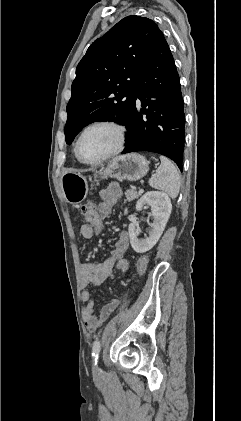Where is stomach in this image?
<instances>
[{
	"label": "stomach",
	"instance_id": "obj_1",
	"mask_svg": "<svg viewBox=\"0 0 241 421\" xmlns=\"http://www.w3.org/2000/svg\"><path fill=\"white\" fill-rule=\"evenodd\" d=\"M148 165L145 157L131 153L113 158L97 173L103 178L136 181L147 174ZM90 179L91 176H86L79 171H66L61 176V187L65 200L72 205L81 203L87 196Z\"/></svg>",
	"mask_w": 241,
	"mask_h": 421
}]
</instances>
